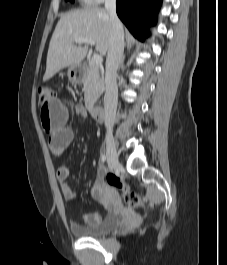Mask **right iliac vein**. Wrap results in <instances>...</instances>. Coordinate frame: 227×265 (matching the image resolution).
Returning <instances> with one entry per match:
<instances>
[{"instance_id":"1","label":"right iliac vein","mask_w":227,"mask_h":265,"mask_svg":"<svg viewBox=\"0 0 227 265\" xmlns=\"http://www.w3.org/2000/svg\"><path fill=\"white\" fill-rule=\"evenodd\" d=\"M106 147H107V162L111 170H115L119 166L118 155L116 151V146L111 135L106 137Z\"/></svg>"}]
</instances>
